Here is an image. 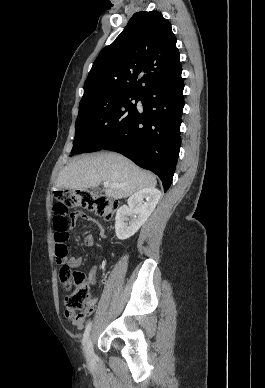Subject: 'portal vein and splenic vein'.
<instances>
[{
	"label": "portal vein and splenic vein",
	"mask_w": 265,
	"mask_h": 388,
	"mask_svg": "<svg viewBox=\"0 0 265 388\" xmlns=\"http://www.w3.org/2000/svg\"><path fill=\"white\" fill-rule=\"evenodd\" d=\"M105 188H108V186H118V184H110V182H104Z\"/></svg>",
	"instance_id": "obj_1"
}]
</instances>
